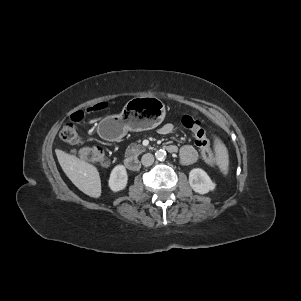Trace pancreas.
<instances>
[{"label": "pancreas", "instance_id": "pancreas-1", "mask_svg": "<svg viewBox=\"0 0 301 301\" xmlns=\"http://www.w3.org/2000/svg\"><path fill=\"white\" fill-rule=\"evenodd\" d=\"M144 151H145V148L142 145L133 143L130 146H128L125 154H126V156H129V155L138 156L139 154L143 153Z\"/></svg>", "mask_w": 301, "mask_h": 301}]
</instances>
